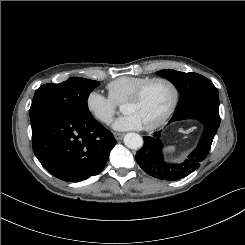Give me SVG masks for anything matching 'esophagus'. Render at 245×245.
<instances>
[{"label": "esophagus", "instance_id": "obj_1", "mask_svg": "<svg viewBox=\"0 0 245 245\" xmlns=\"http://www.w3.org/2000/svg\"><path fill=\"white\" fill-rule=\"evenodd\" d=\"M113 134L116 140H121L123 137L122 133L114 132Z\"/></svg>", "mask_w": 245, "mask_h": 245}]
</instances>
